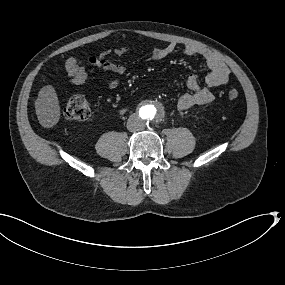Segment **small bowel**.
<instances>
[{
  "instance_id": "small-bowel-1",
  "label": "small bowel",
  "mask_w": 285,
  "mask_h": 285,
  "mask_svg": "<svg viewBox=\"0 0 285 285\" xmlns=\"http://www.w3.org/2000/svg\"><path fill=\"white\" fill-rule=\"evenodd\" d=\"M177 49L175 43H169L164 47L152 48L147 58L149 60H161ZM130 51L128 46H119L112 52L105 50L96 57H91L89 62L92 66L101 69L106 74V87L115 89L120 83L121 77L125 74L126 68L123 65L114 63L109 60L113 53L116 56H123ZM182 52L188 56L201 57L208 68L204 84L201 85L196 75H189L187 86L189 91L178 98L177 107L179 110H187L193 106L209 104L214 100L213 89L227 83L230 71L226 64L208 49L186 44L182 47Z\"/></svg>"
}]
</instances>
